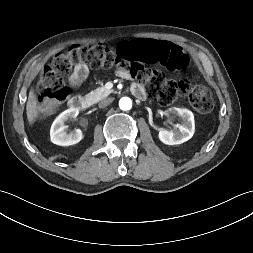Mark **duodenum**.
Listing matches in <instances>:
<instances>
[{
  "instance_id": "1",
  "label": "duodenum",
  "mask_w": 253,
  "mask_h": 253,
  "mask_svg": "<svg viewBox=\"0 0 253 253\" xmlns=\"http://www.w3.org/2000/svg\"><path fill=\"white\" fill-rule=\"evenodd\" d=\"M136 96L142 98L144 93L140 89H135ZM91 106V99L82 96H74L69 100V107L72 110L85 111Z\"/></svg>"
}]
</instances>
